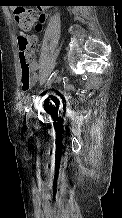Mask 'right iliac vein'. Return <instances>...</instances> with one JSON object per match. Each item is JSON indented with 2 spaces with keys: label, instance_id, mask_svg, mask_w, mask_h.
I'll use <instances>...</instances> for the list:
<instances>
[{
  "label": "right iliac vein",
  "instance_id": "63e3f726",
  "mask_svg": "<svg viewBox=\"0 0 122 218\" xmlns=\"http://www.w3.org/2000/svg\"><path fill=\"white\" fill-rule=\"evenodd\" d=\"M50 84H51V82L48 83L47 86H49ZM26 117H27V122H29L30 119H31V117H32V105L29 107V110H28V112H27Z\"/></svg>",
  "mask_w": 122,
  "mask_h": 218
}]
</instances>
